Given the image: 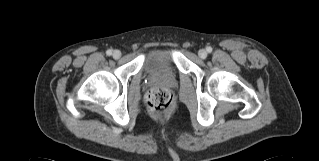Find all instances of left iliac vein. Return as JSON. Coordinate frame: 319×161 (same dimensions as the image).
<instances>
[{
    "label": "left iliac vein",
    "instance_id": "obj_1",
    "mask_svg": "<svg viewBox=\"0 0 319 161\" xmlns=\"http://www.w3.org/2000/svg\"><path fill=\"white\" fill-rule=\"evenodd\" d=\"M198 55L201 59H205L207 57V52L204 49L199 50Z\"/></svg>",
    "mask_w": 319,
    "mask_h": 161
}]
</instances>
